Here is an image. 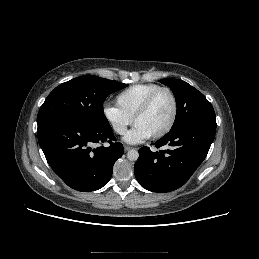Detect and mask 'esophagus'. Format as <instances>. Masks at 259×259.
<instances>
[{
  "label": "esophagus",
  "mask_w": 259,
  "mask_h": 259,
  "mask_svg": "<svg viewBox=\"0 0 259 259\" xmlns=\"http://www.w3.org/2000/svg\"><path fill=\"white\" fill-rule=\"evenodd\" d=\"M130 149H132V147L127 146V145L124 146V150H125V151H129Z\"/></svg>",
  "instance_id": "obj_1"
}]
</instances>
